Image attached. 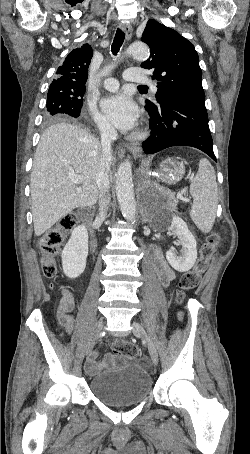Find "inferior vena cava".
Listing matches in <instances>:
<instances>
[{
  "instance_id": "inferior-vena-cava-1",
  "label": "inferior vena cava",
  "mask_w": 250,
  "mask_h": 454,
  "mask_svg": "<svg viewBox=\"0 0 250 454\" xmlns=\"http://www.w3.org/2000/svg\"><path fill=\"white\" fill-rule=\"evenodd\" d=\"M100 134L102 155L100 158L97 183L99 188V218L103 219L106 217L110 202L109 172L112 160L111 143L117 139V131L106 122L100 126Z\"/></svg>"
}]
</instances>
